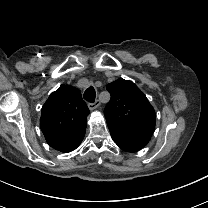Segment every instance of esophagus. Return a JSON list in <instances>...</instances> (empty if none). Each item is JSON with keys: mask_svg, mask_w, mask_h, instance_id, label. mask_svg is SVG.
<instances>
[{"mask_svg": "<svg viewBox=\"0 0 208 208\" xmlns=\"http://www.w3.org/2000/svg\"><path fill=\"white\" fill-rule=\"evenodd\" d=\"M100 105V101L96 100L94 103H89L88 104V108L90 110H94L95 108H97Z\"/></svg>", "mask_w": 208, "mask_h": 208, "instance_id": "esophagus-1", "label": "esophagus"}]
</instances>
